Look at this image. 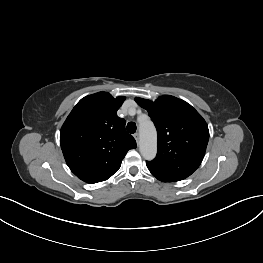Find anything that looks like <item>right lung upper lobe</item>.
Instances as JSON below:
<instances>
[{"label":"right lung upper lobe","mask_w":263,"mask_h":263,"mask_svg":"<svg viewBox=\"0 0 263 263\" xmlns=\"http://www.w3.org/2000/svg\"><path fill=\"white\" fill-rule=\"evenodd\" d=\"M125 97L99 92L81 99L65 120L60 144L71 171L87 183L110 178L136 141L117 110Z\"/></svg>","instance_id":"cb5924a9"}]
</instances>
